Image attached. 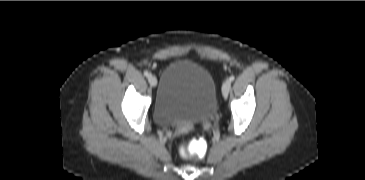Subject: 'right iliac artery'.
I'll return each instance as SVG.
<instances>
[{
  "label": "right iliac artery",
  "instance_id": "1",
  "mask_svg": "<svg viewBox=\"0 0 365 180\" xmlns=\"http://www.w3.org/2000/svg\"><path fill=\"white\" fill-rule=\"evenodd\" d=\"M144 75H145L146 77H148V76L150 75V73H149L148 71H144Z\"/></svg>",
  "mask_w": 365,
  "mask_h": 180
}]
</instances>
